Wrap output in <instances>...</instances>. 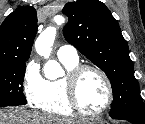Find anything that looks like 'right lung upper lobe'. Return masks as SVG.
I'll return each mask as SVG.
<instances>
[{"label": "right lung upper lobe", "instance_id": "obj_1", "mask_svg": "<svg viewBox=\"0 0 145 124\" xmlns=\"http://www.w3.org/2000/svg\"><path fill=\"white\" fill-rule=\"evenodd\" d=\"M37 31L32 6L19 7L0 26V62L28 60Z\"/></svg>", "mask_w": 145, "mask_h": 124}]
</instances>
